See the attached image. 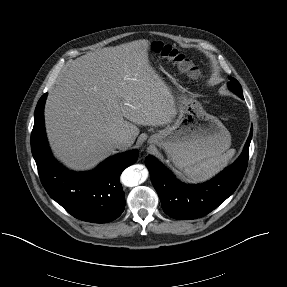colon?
Instances as JSON below:
<instances>
[{
	"mask_svg": "<svg viewBox=\"0 0 287 287\" xmlns=\"http://www.w3.org/2000/svg\"><path fill=\"white\" fill-rule=\"evenodd\" d=\"M153 49L166 57L167 59L174 62L182 71L186 72L193 78L200 77V71L195 64L186 57L183 53L179 52L176 48L171 45H167L161 42L154 43Z\"/></svg>",
	"mask_w": 287,
	"mask_h": 287,
	"instance_id": "colon-1",
	"label": "colon"
}]
</instances>
